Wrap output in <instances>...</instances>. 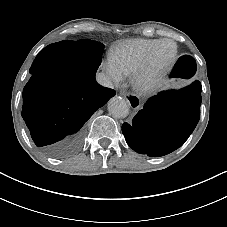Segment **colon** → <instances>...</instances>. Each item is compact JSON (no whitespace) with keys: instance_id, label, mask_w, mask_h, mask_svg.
<instances>
[{"instance_id":"5ec220e1","label":"colon","mask_w":227,"mask_h":227,"mask_svg":"<svg viewBox=\"0 0 227 227\" xmlns=\"http://www.w3.org/2000/svg\"><path fill=\"white\" fill-rule=\"evenodd\" d=\"M194 60L189 56H181L174 66L173 77L187 78L194 71Z\"/></svg>"}]
</instances>
